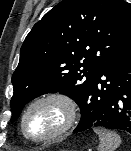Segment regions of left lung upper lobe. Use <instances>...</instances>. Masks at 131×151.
<instances>
[{"instance_id": "1", "label": "left lung upper lobe", "mask_w": 131, "mask_h": 151, "mask_svg": "<svg viewBox=\"0 0 131 151\" xmlns=\"http://www.w3.org/2000/svg\"><path fill=\"white\" fill-rule=\"evenodd\" d=\"M131 44V11L123 0H63L27 35L12 76L11 121L40 95L61 92L83 111L104 62Z\"/></svg>"}]
</instances>
